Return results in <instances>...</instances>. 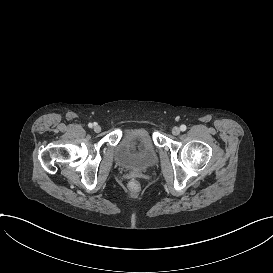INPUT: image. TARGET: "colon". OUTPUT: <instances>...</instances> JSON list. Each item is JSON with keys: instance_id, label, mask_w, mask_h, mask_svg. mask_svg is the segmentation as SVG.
Returning a JSON list of instances; mask_svg holds the SVG:
<instances>
[{"instance_id": "obj_1", "label": "colon", "mask_w": 273, "mask_h": 273, "mask_svg": "<svg viewBox=\"0 0 273 273\" xmlns=\"http://www.w3.org/2000/svg\"><path fill=\"white\" fill-rule=\"evenodd\" d=\"M129 187H130L131 190L136 191V190L139 189L140 184H139L138 181L133 180V181L130 182Z\"/></svg>"}]
</instances>
